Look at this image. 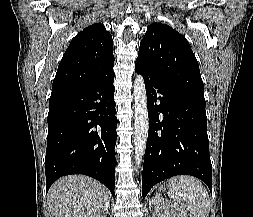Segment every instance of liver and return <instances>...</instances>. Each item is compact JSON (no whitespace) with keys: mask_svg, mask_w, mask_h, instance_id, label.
<instances>
[{"mask_svg":"<svg viewBox=\"0 0 253 217\" xmlns=\"http://www.w3.org/2000/svg\"><path fill=\"white\" fill-rule=\"evenodd\" d=\"M51 217H106L109 210L107 189L84 175L58 179L49 189Z\"/></svg>","mask_w":253,"mask_h":217,"instance_id":"liver-1","label":"liver"}]
</instances>
